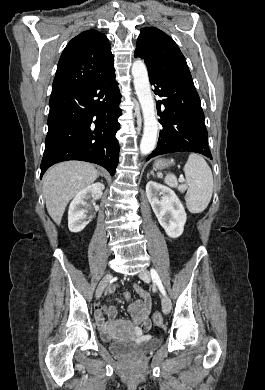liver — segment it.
Segmentation results:
<instances>
[{
	"mask_svg": "<svg viewBox=\"0 0 265 390\" xmlns=\"http://www.w3.org/2000/svg\"><path fill=\"white\" fill-rule=\"evenodd\" d=\"M98 177L95 166L81 161H67L52 166L43 177L46 208L56 224L61 223L68 202Z\"/></svg>",
	"mask_w": 265,
	"mask_h": 390,
	"instance_id": "1",
	"label": "liver"
}]
</instances>
